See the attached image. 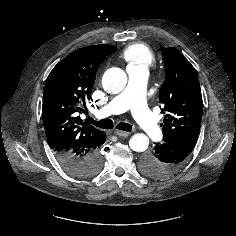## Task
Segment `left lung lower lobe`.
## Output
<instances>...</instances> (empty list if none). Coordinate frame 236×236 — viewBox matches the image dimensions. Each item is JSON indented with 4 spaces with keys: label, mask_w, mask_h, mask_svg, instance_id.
Wrapping results in <instances>:
<instances>
[{
    "label": "left lung lower lobe",
    "mask_w": 236,
    "mask_h": 236,
    "mask_svg": "<svg viewBox=\"0 0 236 236\" xmlns=\"http://www.w3.org/2000/svg\"><path fill=\"white\" fill-rule=\"evenodd\" d=\"M197 137H182L161 144L141 160L145 175L154 179L167 178L181 169L193 150Z\"/></svg>",
    "instance_id": "obj_1"
}]
</instances>
